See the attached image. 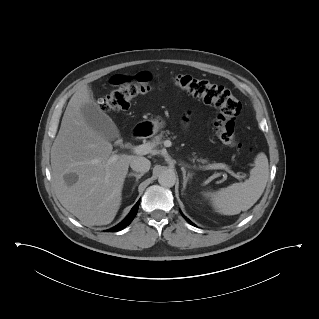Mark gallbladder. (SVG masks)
<instances>
[{"label":"gallbladder","mask_w":319,"mask_h":319,"mask_svg":"<svg viewBox=\"0 0 319 319\" xmlns=\"http://www.w3.org/2000/svg\"><path fill=\"white\" fill-rule=\"evenodd\" d=\"M81 112L88 126L107 140L113 141L120 138L119 130L114 122L95 102L83 105Z\"/></svg>","instance_id":"1"}]
</instances>
